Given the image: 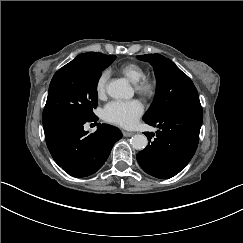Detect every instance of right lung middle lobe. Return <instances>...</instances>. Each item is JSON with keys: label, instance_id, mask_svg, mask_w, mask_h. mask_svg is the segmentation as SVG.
Returning a JSON list of instances; mask_svg holds the SVG:
<instances>
[{"label": "right lung middle lobe", "instance_id": "1", "mask_svg": "<svg viewBox=\"0 0 243 243\" xmlns=\"http://www.w3.org/2000/svg\"><path fill=\"white\" fill-rule=\"evenodd\" d=\"M116 56L107 55L92 65L62 67L53 76L46 105L43 110V125L64 117L94 119L97 107V84L101 72Z\"/></svg>", "mask_w": 243, "mask_h": 243}]
</instances>
